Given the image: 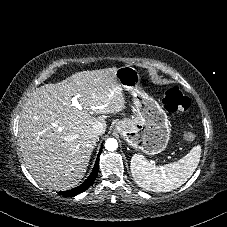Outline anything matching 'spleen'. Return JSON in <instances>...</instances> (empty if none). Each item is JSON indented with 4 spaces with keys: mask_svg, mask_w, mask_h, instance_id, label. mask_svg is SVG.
Listing matches in <instances>:
<instances>
[{
    "mask_svg": "<svg viewBox=\"0 0 227 227\" xmlns=\"http://www.w3.org/2000/svg\"><path fill=\"white\" fill-rule=\"evenodd\" d=\"M201 157V146L193 147L176 162L155 166L143 155L134 154L130 169L136 184L151 192H169L183 185L196 170Z\"/></svg>",
    "mask_w": 227,
    "mask_h": 227,
    "instance_id": "spleen-1",
    "label": "spleen"
}]
</instances>
